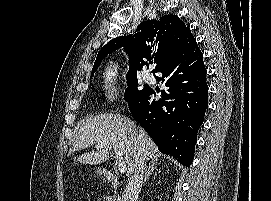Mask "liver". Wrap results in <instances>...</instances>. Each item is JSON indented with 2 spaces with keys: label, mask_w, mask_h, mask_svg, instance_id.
<instances>
[{
  "label": "liver",
  "mask_w": 271,
  "mask_h": 201,
  "mask_svg": "<svg viewBox=\"0 0 271 201\" xmlns=\"http://www.w3.org/2000/svg\"><path fill=\"white\" fill-rule=\"evenodd\" d=\"M141 129L134 121L120 114H98L87 117L77 134L70 152L84 150L90 146L101 144L97 151L80 155L77 161L82 164L97 165L109 159V150L112 148L122 152L126 165L127 175L134 169L139 154L144 153L147 160H156L157 146L146 135L145 141L138 138Z\"/></svg>",
  "instance_id": "1"
}]
</instances>
